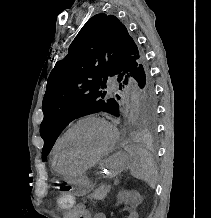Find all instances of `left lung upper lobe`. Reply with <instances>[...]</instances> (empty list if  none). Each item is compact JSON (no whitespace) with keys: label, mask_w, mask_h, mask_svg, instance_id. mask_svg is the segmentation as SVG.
<instances>
[{"label":"left lung upper lobe","mask_w":211,"mask_h":218,"mask_svg":"<svg viewBox=\"0 0 211 218\" xmlns=\"http://www.w3.org/2000/svg\"><path fill=\"white\" fill-rule=\"evenodd\" d=\"M129 76L142 90L139 115L142 124L151 131L155 127L156 104L145 54L117 17L94 15L71 43L68 55L56 63L49 75L40 127L44 140L42 160L75 118L99 111L118 117L119 102L104 98L106 81L114 77L121 89L122 84H128Z\"/></svg>","instance_id":"obj_1"}]
</instances>
